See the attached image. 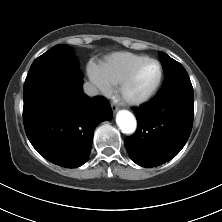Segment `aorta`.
I'll return each mask as SVG.
<instances>
[{"instance_id": "obj_1", "label": "aorta", "mask_w": 222, "mask_h": 222, "mask_svg": "<svg viewBox=\"0 0 222 222\" xmlns=\"http://www.w3.org/2000/svg\"><path fill=\"white\" fill-rule=\"evenodd\" d=\"M116 123L124 134L134 133L137 127V121L134 115L127 110H121L117 113Z\"/></svg>"}]
</instances>
